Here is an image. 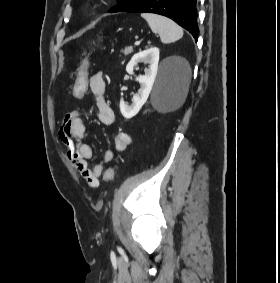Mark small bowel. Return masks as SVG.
Segmentation results:
<instances>
[{"instance_id":"small-bowel-1","label":"small bowel","mask_w":280,"mask_h":283,"mask_svg":"<svg viewBox=\"0 0 280 283\" xmlns=\"http://www.w3.org/2000/svg\"><path fill=\"white\" fill-rule=\"evenodd\" d=\"M89 87L95 98L97 106V117L101 124L110 126L115 121L112 108L104 98L106 84L101 73H96L90 77ZM86 136L83 114L80 109H74L65 115L59 138L66 148L68 159L74 168L80 173L90 188L99 186V178L104 174V165L95 163L91 168L88 161L93 157V149L90 144L84 143ZM132 143L131 137L126 132H119L115 135L113 149L105 150L103 161L112 162L116 153L125 152Z\"/></svg>"}]
</instances>
